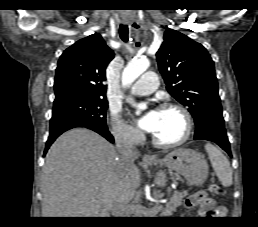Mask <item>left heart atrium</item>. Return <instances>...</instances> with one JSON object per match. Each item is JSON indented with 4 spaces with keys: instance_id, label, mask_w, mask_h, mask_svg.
Here are the masks:
<instances>
[{
    "instance_id": "obj_1",
    "label": "left heart atrium",
    "mask_w": 258,
    "mask_h": 227,
    "mask_svg": "<svg viewBox=\"0 0 258 227\" xmlns=\"http://www.w3.org/2000/svg\"><path fill=\"white\" fill-rule=\"evenodd\" d=\"M157 123V110H150L140 121V127L147 131L153 132Z\"/></svg>"
}]
</instances>
